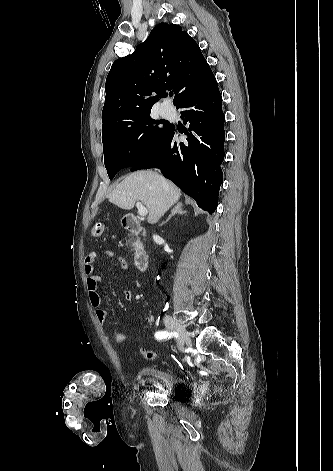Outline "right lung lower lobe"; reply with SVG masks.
I'll return each mask as SVG.
<instances>
[{
    "instance_id": "98d812e1",
    "label": "right lung lower lobe",
    "mask_w": 333,
    "mask_h": 471,
    "mask_svg": "<svg viewBox=\"0 0 333 471\" xmlns=\"http://www.w3.org/2000/svg\"><path fill=\"white\" fill-rule=\"evenodd\" d=\"M221 105V94L211 72L176 106L183 109V123L189 124L186 142L178 140L175 126L171 125L162 141L130 170L161 169L200 208L212 214L223 182L220 166L225 156V117Z\"/></svg>"
}]
</instances>
